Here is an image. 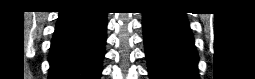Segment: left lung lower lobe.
Returning <instances> with one entry per match:
<instances>
[{"label": "left lung lower lobe", "instance_id": "left-lung-lower-lobe-1", "mask_svg": "<svg viewBox=\"0 0 255 79\" xmlns=\"http://www.w3.org/2000/svg\"><path fill=\"white\" fill-rule=\"evenodd\" d=\"M150 79H198V55L184 13H143Z\"/></svg>", "mask_w": 255, "mask_h": 79}]
</instances>
